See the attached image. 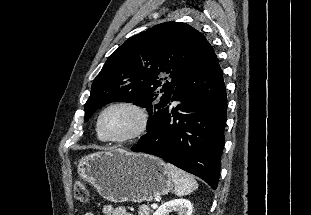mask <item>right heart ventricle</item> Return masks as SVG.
I'll return each mask as SVG.
<instances>
[{
    "label": "right heart ventricle",
    "mask_w": 311,
    "mask_h": 215,
    "mask_svg": "<svg viewBox=\"0 0 311 215\" xmlns=\"http://www.w3.org/2000/svg\"><path fill=\"white\" fill-rule=\"evenodd\" d=\"M97 134H98V132H97ZM98 137L101 139V137L99 136V134H98ZM102 140V139H101Z\"/></svg>",
    "instance_id": "e07e8e85"
}]
</instances>
